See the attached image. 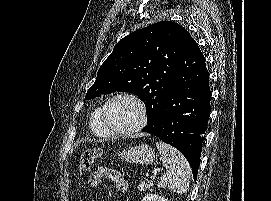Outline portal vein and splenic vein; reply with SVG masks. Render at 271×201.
I'll use <instances>...</instances> for the list:
<instances>
[{"instance_id": "18ae733b", "label": "portal vein and splenic vein", "mask_w": 271, "mask_h": 201, "mask_svg": "<svg viewBox=\"0 0 271 201\" xmlns=\"http://www.w3.org/2000/svg\"><path fill=\"white\" fill-rule=\"evenodd\" d=\"M152 180H154L156 178V175L153 174L151 177H150Z\"/></svg>"}]
</instances>
